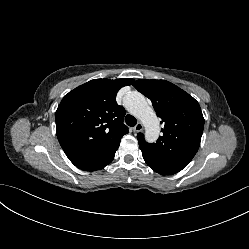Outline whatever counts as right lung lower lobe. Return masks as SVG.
Instances as JSON below:
<instances>
[{"mask_svg": "<svg viewBox=\"0 0 249 249\" xmlns=\"http://www.w3.org/2000/svg\"><path fill=\"white\" fill-rule=\"evenodd\" d=\"M119 144L120 142L101 151L70 154L67 157L76 167L82 170L96 171L104 168L113 160Z\"/></svg>", "mask_w": 249, "mask_h": 249, "instance_id": "obj_1", "label": "right lung lower lobe"}]
</instances>
